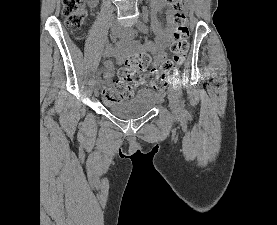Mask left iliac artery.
<instances>
[{"mask_svg":"<svg viewBox=\"0 0 277 225\" xmlns=\"http://www.w3.org/2000/svg\"><path fill=\"white\" fill-rule=\"evenodd\" d=\"M137 28H138L142 33H144V34H147V33H148V28H147V26H146L143 22H141V21H139V22L137 23ZM173 84L175 85V87H176V89H177V91H178V94H179V96L181 97L182 94H183V92H182V84H181L180 79H179V78H175ZM181 105L184 106V100L181 101Z\"/></svg>","mask_w":277,"mask_h":225,"instance_id":"44dca946","label":"left iliac artery"}]
</instances>
